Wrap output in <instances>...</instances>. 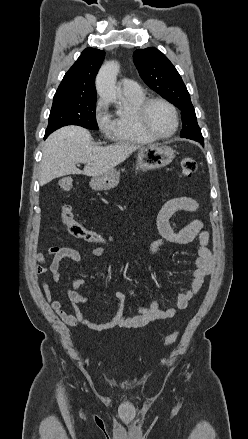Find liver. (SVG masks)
Listing matches in <instances>:
<instances>
[{"label": "liver", "instance_id": "6515ba94", "mask_svg": "<svg viewBox=\"0 0 248 439\" xmlns=\"http://www.w3.org/2000/svg\"><path fill=\"white\" fill-rule=\"evenodd\" d=\"M87 129L66 126L53 132L45 141L41 161L40 184L71 174L98 176L124 162L139 145L117 143L106 147L94 146ZM84 163L81 171L76 164Z\"/></svg>", "mask_w": 248, "mask_h": 439}]
</instances>
